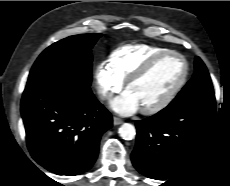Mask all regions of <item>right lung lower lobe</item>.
<instances>
[{"instance_id":"right-lung-lower-lobe-1","label":"right lung lower lobe","mask_w":230,"mask_h":186,"mask_svg":"<svg viewBox=\"0 0 230 186\" xmlns=\"http://www.w3.org/2000/svg\"><path fill=\"white\" fill-rule=\"evenodd\" d=\"M21 114L27 146L45 169L74 176L92 167L111 114L89 86L66 76L26 85Z\"/></svg>"}]
</instances>
